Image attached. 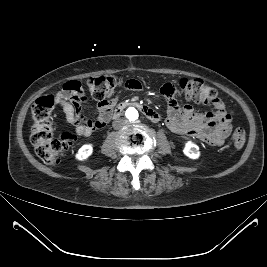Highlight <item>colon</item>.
Listing matches in <instances>:
<instances>
[{"label":"colon","instance_id":"obj_1","mask_svg":"<svg viewBox=\"0 0 267 267\" xmlns=\"http://www.w3.org/2000/svg\"><path fill=\"white\" fill-rule=\"evenodd\" d=\"M86 86L92 98L102 104L112 96L118 81L111 75H100L87 79ZM179 87L185 99L191 102L208 104L217 99V91L201 79L183 78L179 81ZM55 104V96L47 95L39 98L32 107L33 126L30 140L37 156L48 164L57 163L69 151L75 140L69 132L54 137L50 116ZM245 140L244 128H236L232 134L234 147L242 148Z\"/></svg>","mask_w":267,"mask_h":267}]
</instances>
